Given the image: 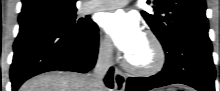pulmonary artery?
Segmentation results:
<instances>
[{
  "instance_id": "e3ab8cb5",
  "label": "pulmonary artery",
  "mask_w": 220,
  "mask_h": 91,
  "mask_svg": "<svg viewBox=\"0 0 220 91\" xmlns=\"http://www.w3.org/2000/svg\"><path fill=\"white\" fill-rule=\"evenodd\" d=\"M127 0H97L91 1L89 6L85 9L86 13H93L97 11L112 10L120 8L127 4Z\"/></svg>"
}]
</instances>
